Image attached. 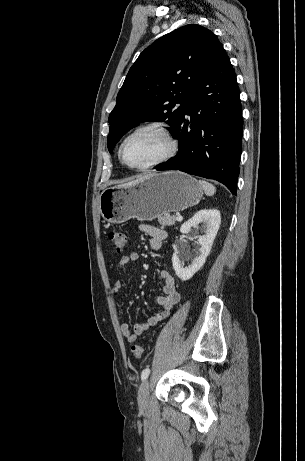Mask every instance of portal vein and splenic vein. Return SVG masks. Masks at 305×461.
<instances>
[{
    "mask_svg": "<svg viewBox=\"0 0 305 461\" xmlns=\"http://www.w3.org/2000/svg\"><path fill=\"white\" fill-rule=\"evenodd\" d=\"M176 219H177V221H182V220H183V217H182L180 214H178L177 217H176Z\"/></svg>",
    "mask_w": 305,
    "mask_h": 461,
    "instance_id": "portal-vein-and-splenic-vein-1",
    "label": "portal vein and splenic vein"
}]
</instances>
